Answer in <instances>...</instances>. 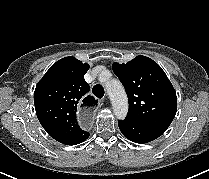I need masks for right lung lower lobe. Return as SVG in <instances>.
<instances>
[{"instance_id":"1","label":"right lung lower lobe","mask_w":209,"mask_h":179,"mask_svg":"<svg viewBox=\"0 0 209 179\" xmlns=\"http://www.w3.org/2000/svg\"><path fill=\"white\" fill-rule=\"evenodd\" d=\"M89 137V133L86 132L82 137H80L76 142H74L72 145L79 144L83 141H85Z\"/></svg>"}]
</instances>
